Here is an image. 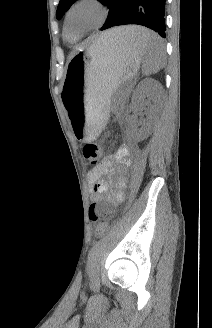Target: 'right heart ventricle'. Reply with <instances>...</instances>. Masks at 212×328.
I'll return each mask as SVG.
<instances>
[{
  "mask_svg": "<svg viewBox=\"0 0 212 328\" xmlns=\"http://www.w3.org/2000/svg\"><path fill=\"white\" fill-rule=\"evenodd\" d=\"M65 38L68 42H74L76 39V35L71 33L70 31H65Z\"/></svg>",
  "mask_w": 212,
  "mask_h": 328,
  "instance_id": "right-heart-ventricle-1",
  "label": "right heart ventricle"
}]
</instances>
